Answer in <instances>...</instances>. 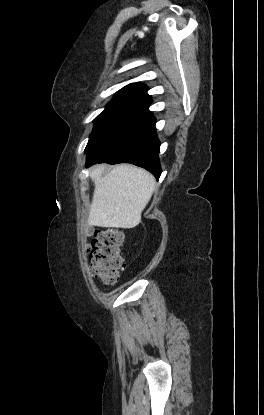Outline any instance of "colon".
Instances as JSON below:
<instances>
[{"instance_id": "1", "label": "colon", "mask_w": 264, "mask_h": 415, "mask_svg": "<svg viewBox=\"0 0 264 415\" xmlns=\"http://www.w3.org/2000/svg\"><path fill=\"white\" fill-rule=\"evenodd\" d=\"M124 234L116 228H99L94 232L91 245L87 248L89 271L104 285L115 284L125 265L122 255Z\"/></svg>"}]
</instances>
